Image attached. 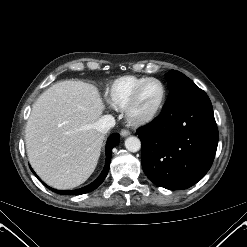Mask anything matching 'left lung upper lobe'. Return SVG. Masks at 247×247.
<instances>
[{
	"label": "left lung upper lobe",
	"instance_id": "5c2ea615",
	"mask_svg": "<svg viewBox=\"0 0 247 247\" xmlns=\"http://www.w3.org/2000/svg\"><path fill=\"white\" fill-rule=\"evenodd\" d=\"M165 76L169 89V97L182 91L197 88V85L191 79H189L179 71L170 70Z\"/></svg>",
	"mask_w": 247,
	"mask_h": 247
}]
</instances>
